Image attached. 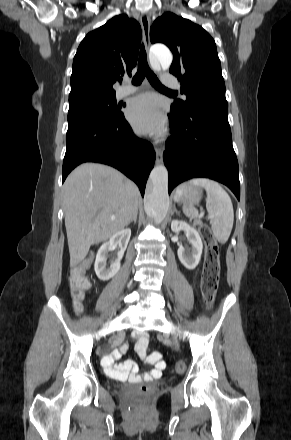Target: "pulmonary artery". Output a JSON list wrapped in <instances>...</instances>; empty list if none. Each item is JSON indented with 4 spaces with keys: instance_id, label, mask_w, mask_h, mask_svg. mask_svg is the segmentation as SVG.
I'll return each mask as SVG.
<instances>
[{
    "instance_id": "e3ab8cb5",
    "label": "pulmonary artery",
    "mask_w": 291,
    "mask_h": 440,
    "mask_svg": "<svg viewBox=\"0 0 291 440\" xmlns=\"http://www.w3.org/2000/svg\"><path fill=\"white\" fill-rule=\"evenodd\" d=\"M163 82L166 83L169 86L172 87H177L178 86V82L176 81V77L174 74H165L163 77ZM137 91V87L131 84H127L126 86L120 88L117 91V96L119 98H125L131 94H133L134 92Z\"/></svg>"
}]
</instances>
